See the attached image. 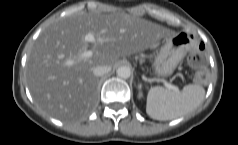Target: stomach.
Instances as JSON below:
<instances>
[{
    "mask_svg": "<svg viewBox=\"0 0 238 145\" xmlns=\"http://www.w3.org/2000/svg\"><path fill=\"white\" fill-rule=\"evenodd\" d=\"M196 38L191 32L168 35L157 52L153 67L157 77H168L175 70L182 56L195 47Z\"/></svg>",
    "mask_w": 238,
    "mask_h": 145,
    "instance_id": "0dacf381",
    "label": "stomach"
}]
</instances>
